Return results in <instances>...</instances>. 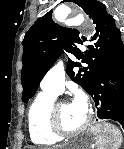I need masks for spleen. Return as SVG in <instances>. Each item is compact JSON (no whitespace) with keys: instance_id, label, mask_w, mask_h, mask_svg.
<instances>
[{"instance_id":"spleen-1","label":"spleen","mask_w":124,"mask_h":149,"mask_svg":"<svg viewBox=\"0 0 124 149\" xmlns=\"http://www.w3.org/2000/svg\"><path fill=\"white\" fill-rule=\"evenodd\" d=\"M97 142L99 149H119L122 137L118 128L109 123H102L96 129Z\"/></svg>"}]
</instances>
